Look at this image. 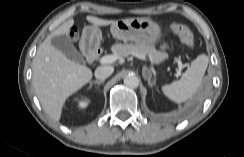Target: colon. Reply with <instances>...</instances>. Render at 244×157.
I'll use <instances>...</instances> for the list:
<instances>
[{
    "label": "colon",
    "instance_id": "1",
    "mask_svg": "<svg viewBox=\"0 0 244 157\" xmlns=\"http://www.w3.org/2000/svg\"><path fill=\"white\" fill-rule=\"evenodd\" d=\"M170 27L186 45L189 47H193L195 45L194 35L186 25L181 23H172Z\"/></svg>",
    "mask_w": 244,
    "mask_h": 157
}]
</instances>
